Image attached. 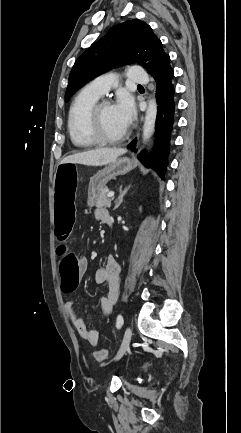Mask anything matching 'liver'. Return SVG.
<instances>
[{
  "mask_svg": "<svg viewBox=\"0 0 241 433\" xmlns=\"http://www.w3.org/2000/svg\"><path fill=\"white\" fill-rule=\"evenodd\" d=\"M126 153V149L100 148L65 157L61 163H75L87 166H103L111 163L120 155Z\"/></svg>",
  "mask_w": 241,
  "mask_h": 433,
  "instance_id": "1",
  "label": "liver"
}]
</instances>
